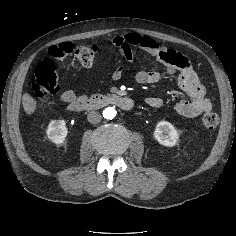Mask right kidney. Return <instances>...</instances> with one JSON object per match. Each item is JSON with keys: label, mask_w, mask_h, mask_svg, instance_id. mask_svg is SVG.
<instances>
[{"label": "right kidney", "mask_w": 236, "mask_h": 236, "mask_svg": "<svg viewBox=\"0 0 236 236\" xmlns=\"http://www.w3.org/2000/svg\"><path fill=\"white\" fill-rule=\"evenodd\" d=\"M67 134L68 130L64 120H54L48 125L47 136L55 144L65 143Z\"/></svg>", "instance_id": "1"}]
</instances>
